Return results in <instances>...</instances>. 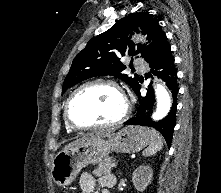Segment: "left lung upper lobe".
<instances>
[{"label":"left lung upper lobe","instance_id":"left-lung-upper-lobe-1","mask_svg":"<svg viewBox=\"0 0 221 193\" xmlns=\"http://www.w3.org/2000/svg\"><path fill=\"white\" fill-rule=\"evenodd\" d=\"M133 31L147 34L149 45L130 41L127 36ZM165 41V32L148 12H136L120 19L109 30L89 40L74 58L62 93L83 80L100 75H113L135 90L139 85L138 76L132 78L123 74L126 66L120 62V58L139 54L147 61Z\"/></svg>","mask_w":221,"mask_h":193}]
</instances>
